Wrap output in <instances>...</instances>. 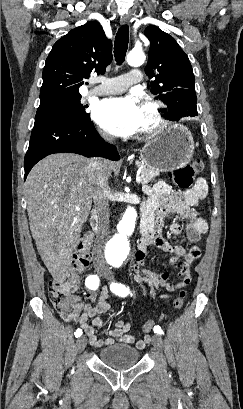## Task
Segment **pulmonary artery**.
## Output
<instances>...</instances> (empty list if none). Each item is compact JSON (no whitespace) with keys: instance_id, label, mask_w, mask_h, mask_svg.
<instances>
[{"instance_id":"1","label":"pulmonary artery","mask_w":243,"mask_h":409,"mask_svg":"<svg viewBox=\"0 0 243 409\" xmlns=\"http://www.w3.org/2000/svg\"><path fill=\"white\" fill-rule=\"evenodd\" d=\"M141 78V71L137 69L113 78H98L99 85L91 90V94L101 96L121 93L133 84L140 82Z\"/></svg>"}]
</instances>
